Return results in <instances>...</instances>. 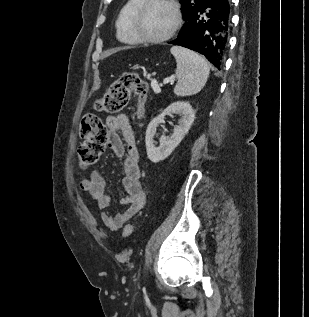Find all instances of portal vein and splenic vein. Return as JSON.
<instances>
[{"instance_id": "portal-vein-and-splenic-vein-1", "label": "portal vein and splenic vein", "mask_w": 309, "mask_h": 317, "mask_svg": "<svg viewBox=\"0 0 309 317\" xmlns=\"http://www.w3.org/2000/svg\"><path fill=\"white\" fill-rule=\"evenodd\" d=\"M170 81H171L170 79H165V80H164V84H166V83H168V82H170ZM151 86H152V88H153V90H154L155 92H160V91H161L160 87L158 86V82H157L155 79H153V80L151 81Z\"/></svg>"}]
</instances>
